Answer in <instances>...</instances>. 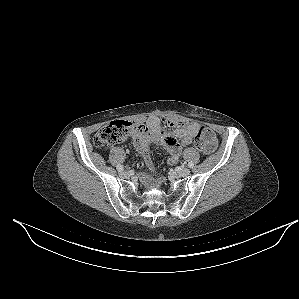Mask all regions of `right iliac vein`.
I'll use <instances>...</instances> for the list:
<instances>
[{
  "instance_id": "right-iliac-vein-1",
  "label": "right iliac vein",
  "mask_w": 299,
  "mask_h": 299,
  "mask_svg": "<svg viewBox=\"0 0 299 299\" xmlns=\"http://www.w3.org/2000/svg\"><path fill=\"white\" fill-rule=\"evenodd\" d=\"M120 177H122V178H128L129 177V173L126 172V171H123V172L120 173Z\"/></svg>"
}]
</instances>
